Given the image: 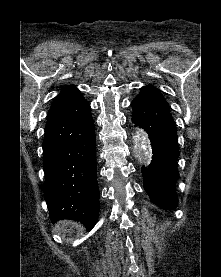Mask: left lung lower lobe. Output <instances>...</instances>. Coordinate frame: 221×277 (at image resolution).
Segmentation results:
<instances>
[{"instance_id":"left-lung-lower-lobe-1","label":"left lung lower lobe","mask_w":221,"mask_h":277,"mask_svg":"<svg viewBox=\"0 0 221 277\" xmlns=\"http://www.w3.org/2000/svg\"><path fill=\"white\" fill-rule=\"evenodd\" d=\"M132 122L144 128L152 146V161L142 168L144 188L151 200L165 209L177 206L175 184L179 148L169 105L145 86L132 101Z\"/></svg>"}]
</instances>
